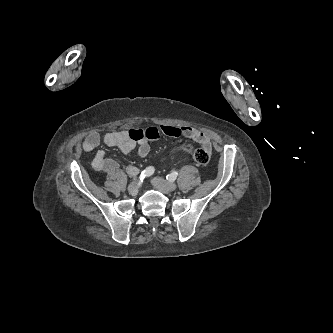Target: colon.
I'll list each match as a JSON object with an SVG mask.
<instances>
[{
  "instance_id": "colon-1",
  "label": "colon",
  "mask_w": 333,
  "mask_h": 333,
  "mask_svg": "<svg viewBox=\"0 0 333 333\" xmlns=\"http://www.w3.org/2000/svg\"><path fill=\"white\" fill-rule=\"evenodd\" d=\"M180 152H192L193 159L198 165H206L209 162L210 154L203 148L193 149L188 144L179 147Z\"/></svg>"
}]
</instances>
